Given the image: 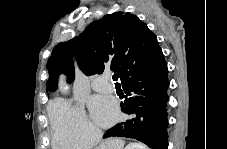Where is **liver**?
<instances>
[{
  "label": "liver",
  "instance_id": "1",
  "mask_svg": "<svg viewBox=\"0 0 227 149\" xmlns=\"http://www.w3.org/2000/svg\"><path fill=\"white\" fill-rule=\"evenodd\" d=\"M125 142L119 138H110L101 143L96 149H123ZM146 149V146H144Z\"/></svg>",
  "mask_w": 227,
  "mask_h": 149
}]
</instances>
